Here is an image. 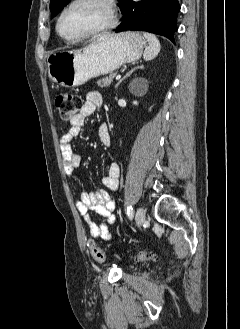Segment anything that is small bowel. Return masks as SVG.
<instances>
[{"mask_svg": "<svg viewBox=\"0 0 240 329\" xmlns=\"http://www.w3.org/2000/svg\"><path fill=\"white\" fill-rule=\"evenodd\" d=\"M103 106V98L98 92H89L86 101L80 112L70 122L69 130L61 137L60 148L62 152V162L65 173L72 176L79 167L80 158L72 151L71 142L77 138L85 124L86 119L91 116L97 109ZM98 138L102 145H110V133L107 124L100 125ZM120 168L116 163H110L105 175L101 179L104 186L96 192H83L76 203L78 212L84 217L89 227L90 235L94 238L104 240L112 239L108 225L115 222V202L110 198L108 191H116L119 186ZM95 213L102 217L103 221L97 224L92 219Z\"/></svg>", "mask_w": 240, "mask_h": 329, "instance_id": "small-bowel-1", "label": "small bowel"}]
</instances>
